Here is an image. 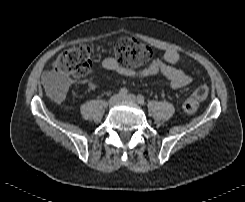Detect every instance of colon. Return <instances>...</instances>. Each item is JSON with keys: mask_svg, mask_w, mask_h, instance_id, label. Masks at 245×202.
I'll return each mask as SVG.
<instances>
[{"mask_svg": "<svg viewBox=\"0 0 245 202\" xmlns=\"http://www.w3.org/2000/svg\"><path fill=\"white\" fill-rule=\"evenodd\" d=\"M114 52L118 62L124 66L137 67L146 63L153 55L149 45L139 41L132 35H124L116 39ZM91 49L86 43H77L55 57L52 63L53 71L73 79H83L89 75L92 68ZM210 93L208 84L197 87L183 103V111L193 114Z\"/></svg>", "mask_w": 245, "mask_h": 202, "instance_id": "1", "label": "colon"}]
</instances>
